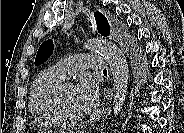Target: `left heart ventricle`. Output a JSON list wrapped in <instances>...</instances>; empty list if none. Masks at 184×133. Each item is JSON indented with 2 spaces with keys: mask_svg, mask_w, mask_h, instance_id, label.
Masks as SVG:
<instances>
[{
  "mask_svg": "<svg viewBox=\"0 0 184 133\" xmlns=\"http://www.w3.org/2000/svg\"><path fill=\"white\" fill-rule=\"evenodd\" d=\"M63 104L70 115L82 116L84 113L76 101L75 88L69 83L65 85L63 90Z\"/></svg>",
  "mask_w": 184,
  "mask_h": 133,
  "instance_id": "1",
  "label": "left heart ventricle"
}]
</instances>
